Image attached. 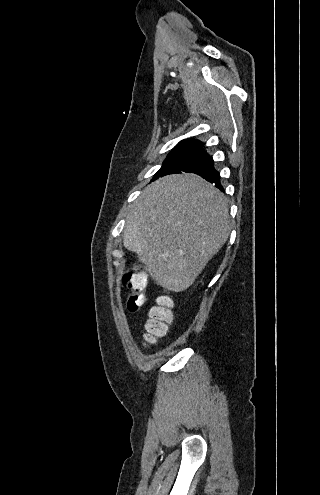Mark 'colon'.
Here are the masks:
<instances>
[{"mask_svg":"<svg viewBox=\"0 0 320 495\" xmlns=\"http://www.w3.org/2000/svg\"><path fill=\"white\" fill-rule=\"evenodd\" d=\"M123 282L132 290L127 298V308L131 312L137 311L144 302L141 292L146 288L147 278L143 272L132 269L124 274ZM172 321V300L167 296H161L158 304L150 310L146 322V344H153L157 338L165 335Z\"/></svg>","mask_w":320,"mask_h":495,"instance_id":"obj_1","label":"colon"}]
</instances>
